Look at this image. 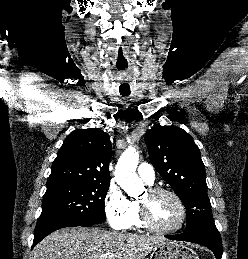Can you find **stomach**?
Returning <instances> with one entry per match:
<instances>
[{"label":"stomach","mask_w":248,"mask_h":259,"mask_svg":"<svg viewBox=\"0 0 248 259\" xmlns=\"http://www.w3.org/2000/svg\"><path fill=\"white\" fill-rule=\"evenodd\" d=\"M150 259H199L196 252L180 243L165 242L155 248Z\"/></svg>","instance_id":"0dacf381"}]
</instances>
